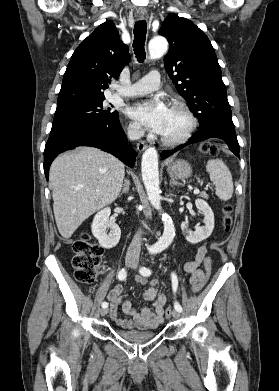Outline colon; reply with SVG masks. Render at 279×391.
I'll use <instances>...</instances> for the list:
<instances>
[{
	"label": "colon",
	"mask_w": 279,
	"mask_h": 391,
	"mask_svg": "<svg viewBox=\"0 0 279 391\" xmlns=\"http://www.w3.org/2000/svg\"><path fill=\"white\" fill-rule=\"evenodd\" d=\"M201 150L203 153L209 155H215L218 152V148L213 144H204L201 147ZM222 211L224 228L228 232L232 224L231 205H224ZM73 252L74 256L72 259V266L74 268L76 280L85 285L94 283L98 272L103 268L101 261L103 248L92 240L90 234L83 233L77 240L74 241ZM211 266V258L206 256L205 273L200 280L192 285L193 293L199 292L205 286L211 272ZM165 314L167 317L171 316L172 308L168 307Z\"/></svg>",
	"instance_id": "colon-1"
}]
</instances>
